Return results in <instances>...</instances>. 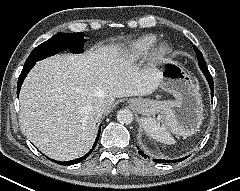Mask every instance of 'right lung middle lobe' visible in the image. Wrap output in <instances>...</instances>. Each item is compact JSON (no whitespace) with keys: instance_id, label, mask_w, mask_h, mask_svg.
Segmentation results:
<instances>
[{"instance_id":"dd1d6c3e","label":"right lung middle lobe","mask_w":240,"mask_h":191,"mask_svg":"<svg viewBox=\"0 0 240 191\" xmlns=\"http://www.w3.org/2000/svg\"><path fill=\"white\" fill-rule=\"evenodd\" d=\"M84 33H75L67 35L65 33H57L49 40L37 46L27 58L25 65L35 64L46 57L56 54L62 50H70L73 53H81L84 48Z\"/></svg>"}]
</instances>
